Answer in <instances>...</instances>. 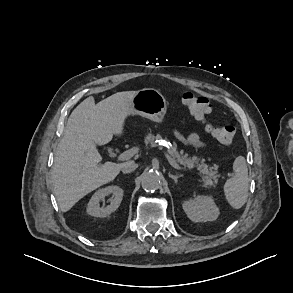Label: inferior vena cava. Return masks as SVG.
<instances>
[{"instance_id": "obj_1", "label": "inferior vena cava", "mask_w": 293, "mask_h": 293, "mask_svg": "<svg viewBox=\"0 0 293 293\" xmlns=\"http://www.w3.org/2000/svg\"><path fill=\"white\" fill-rule=\"evenodd\" d=\"M137 167L138 164H136L134 161H128L122 164L121 170L123 173H131L136 170Z\"/></svg>"}]
</instances>
